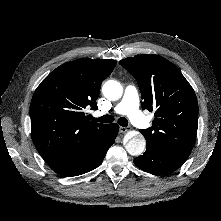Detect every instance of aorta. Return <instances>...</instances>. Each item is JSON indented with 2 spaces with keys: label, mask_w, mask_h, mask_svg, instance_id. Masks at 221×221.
Here are the masks:
<instances>
[{
  "label": "aorta",
  "mask_w": 221,
  "mask_h": 221,
  "mask_svg": "<svg viewBox=\"0 0 221 221\" xmlns=\"http://www.w3.org/2000/svg\"><path fill=\"white\" fill-rule=\"evenodd\" d=\"M102 93L109 100H118L123 94V87L116 80H108L102 86ZM145 147L146 141L142 135L132 137L125 145L127 152L132 156L141 155Z\"/></svg>",
  "instance_id": "1"
}]
</instances>
